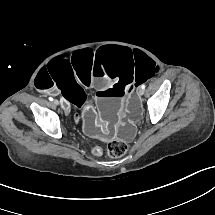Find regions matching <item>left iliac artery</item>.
Segmentation results:
<instances>
[{"label": "left iliac artery", "mask_w": 215, "mask_h": 215, "mask_svg": "<svg viewBox=\"0 0 215 215\" xmlns=\"http://www.w3.org/2000/svg\"><path fill=\"white\" fill-rule=\"evenodd\" d=\"M141 87H142L143 89H145L146 86H145V84H142Z\"/></svg>", "instance_id": "44dca946"}]
</instances>
